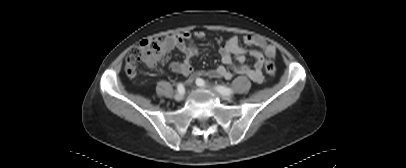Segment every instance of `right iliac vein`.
<instances>
[{
	"label": "right iliac vein",
	"mask_w": 406,
	"mask_h": 168,
	"mask_svg": "<svg viewBox=\"0 0 406 168\" xmlns=\"http://www.w3.org/2000/svg\"><path fill=\"white\" fill-rule=\"evenodd\" d=\"M183 98H184L183 93H177V94L174 96V99H175L176 101H181Z\"/></svg>",
	"instance_id": "1"
}]
</instances>
